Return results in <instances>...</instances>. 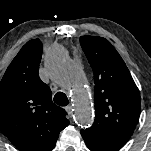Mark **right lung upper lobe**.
<instances>
[{"mask_svg": "<svg viewBox=\"0 0 151 151\" xmlns=\"http://www.w3.org/2000/svg\"><path fill=\"white\" fill-rule=\"evenodd\" d=\"M41 56V41H28L0 82V130L20 151H51L69 124L39 78Z\"/></svg>", "mask_w": 151, "mask_h": 151, "instance_id": "cb5924a9", "label": "right lung upper lobe"}]
</instances>
